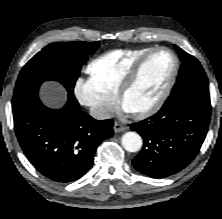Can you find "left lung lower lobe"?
<instances>
[{
  "mask_svg": "<svg viewBox=\"0 0 222 219\" xmlns=\"http://www.w3.org/2000/svg\"><path fill=\"white\" fill-rule=\"evenodd\" d=\"M211 116L210 100L193 94L169 97L149 119L130 124L144 140L133 166L152 178L167 177L185 168L205 139Z\"/></svg>",
  "mask_w": 222,
  "mask_h": 219,
  "instance_id": "1",
  "label": "left lung lower lobe"
}]
</instances>
